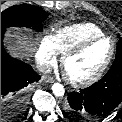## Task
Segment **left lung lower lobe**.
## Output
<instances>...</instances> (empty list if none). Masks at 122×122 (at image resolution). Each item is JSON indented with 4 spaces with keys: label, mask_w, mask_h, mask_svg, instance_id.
I'll return each mask as SVG.
<instances>
[{
    "label": "left lung lower lobe",
    "mask_w": 122,
    "mask_h": 122,
    "mask_svg": "<svg viewBox=\"0 0 122 122\" xmlns=\"http://www.w3.org/2000/svg\"><path fill=\"white\" fill-rule=\"evenodd\" d=\"M122 101V63L112 65L95 84L68 93L66 110L69 114L95 119L113 111Z\"/></svg>",
    "instance_id": "obj_1"
}]
</instances>
